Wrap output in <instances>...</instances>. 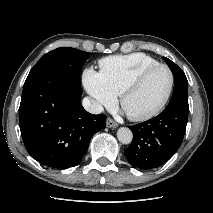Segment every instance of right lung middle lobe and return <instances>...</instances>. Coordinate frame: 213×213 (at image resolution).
Wrapping results in <instances>:
<instances>
[{"label": "right lung middle lobe", "mask_w": 213, "mask_h": 213, "mask_svg": "<svg viewBox=\"0 0 213 213\" xmlns=\"http://www.w3.org/2000/svg\"><path fill=\"white\" fill-rule=\"evenodd\" d=\"M89 55V52L70 47H60L41 57L29 75L40 71H56L80 85V69Z\"/></svg>", "instance_id": "obj_1"}]
</instances>
